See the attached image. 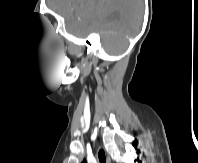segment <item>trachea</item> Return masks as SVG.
<instances>
[{"instance_id": "obj_1", "label": "trachea", "mask_w": 198, "mask_h": 163, "mask_svg": "<svg viewBox=\"0 0 198 163\" xmlns=\"http://www.w3.org/2000/svg\"><path fill=\"white\" fill-rule=\"evenodd\" d=\"M98 157H99L100 163H106L105 152L103 150L99 151Z\"/></svg>"}]
</instances>
